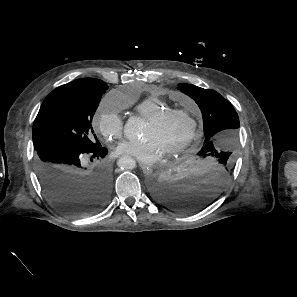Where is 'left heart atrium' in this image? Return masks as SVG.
Returning a JSON list of instances; mask_svg holds the SVG:
<instances>
[{
  "label": "left heart atrium",
  "mask_w": 297,
  "mask_h": 297,
  "mask_svg": "<svg viewBox=\"0 0 297 297\" xmlns=\"http://www.w3.org/2000/svg\"><path fill=\"white\" fill-rule=\"evenodd\" d=\"M116 152L131 156L143 164H153L164 154L157 141L150 137L138 141L124 140L118 144Z\"/></svg>",
  "instance_id": "1"
}]
</instances>
